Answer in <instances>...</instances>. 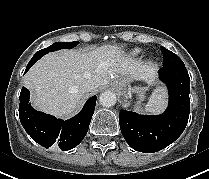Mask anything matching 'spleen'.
Segmentation results:
<instances>
[{
    "label": "spleen",
    "mask_w": 209,
    "mask_h": 179,
    "mask_svg": "<svg viewBox=\"0 0 209 179\" xmlns=\"http://www.w3.org/2000/svg\"><path fill=\"white\" fill-rule=\"evenodd\" d=\"M147 106H148V109L153 113L162 112L166 106V91H165V89L162 87L157 88L153 92Z\"/></svg>",
    "instance_id": "3e777b00"
}]
</instances>
